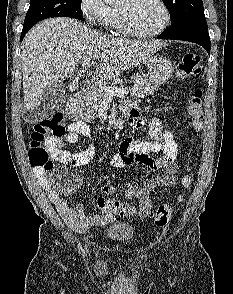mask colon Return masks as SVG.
Listing matches in <instances>:
<instances>
[{"label":"colon","instance_id":"obj_1","mask_svg":"<svg viewBox=\"0 0 233 294\" xmlns=\"http://www.w3.org/2000/svg\"><path fill=\"white\" fill-rule=\"evenodd\" d=\"M203 73L201 57L196 52H187L178 68V77L200 78ZM188 113L192 126L200 130L204 118L203 92L195 89L190 96ZM65 133V119L62 113L57 112L36 123L33 127L29 143V160L34 168H41L50 174L52 185L61 193L69 195L74 193L80 186L79 177L62 166L55 165L54 160H59L54 153L53 141ZM191 183V176L186 174L181 179L182 187L188 188ZM121 211L124 214L134 213V207L130 204H122ZM172 208L167 204L160 205L150 213L157 226H166L172 219Z\"/></svg>","mask_w":233,"mask_h":294}]
</instances>
